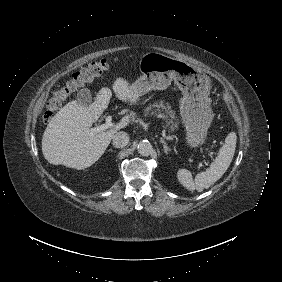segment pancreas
<instances>
[{
    "label": "pancreas",
    "instance_id": "cf45deb5",
    "mask_svg": "<svg viewBox=\"0 0 282 282\" xmlns=\"http://www.w3.org/2000/svg\"><path fill=\"white\" fill-rule=\"evenodd\" d=\"M162 99L161 101H154L152 104L144 108V115L148 116L149 112L154 108L153 114L161 117L165 122V127L169 128L168 132L180 130V120L174 110L170 107V103Z\"/></svg>",
    "mask_w": 282,
    "mask_h": 282
}]
</instances>
